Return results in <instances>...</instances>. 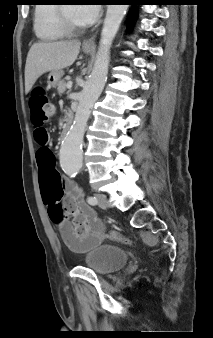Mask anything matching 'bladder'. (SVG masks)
<instances>
[{"label":"bladder","mask_w":213,"mask_h":338,"mask_svg":"<svg viewBox=\"0 0 213 338\" xmlns=\"http://www.w3.org/2000/svg\"><path fill=\"white\" fill-rule=\"evenodd\" d=\"M127 251L121 246L102 245L92 248L84 258L85 266L100 276H106L124 267Z\"/></svg>","instance_id":"bladder-1"}]
</instances>
